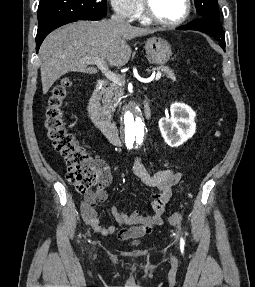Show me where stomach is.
Returning <instances> with one entry per match:
<instances>
[{"label":"stomach","instance_id":"1","mask_svg":"<svg viewBox=\"0 0 255 287\" xmlns=\"http://www.w3.org/2000/svg\"><path fill=\"white\" fill-rule=\"evenodd\" d=\"M146 56L151 64L163 66L172 56L169 42L164 38H149L145 44Z\"/></svg>","mask_w":255,"mask_h":287}]
</instances>
